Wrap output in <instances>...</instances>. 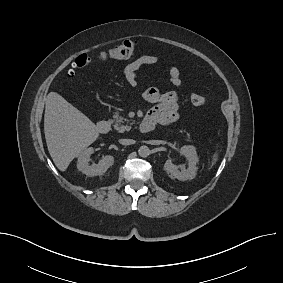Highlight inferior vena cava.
Returning a JSON list of instances; mask_svg holds the SVG:
<instances>
[{
  "instance_id": "obj_1",
  "label": "inferior vena cava",
  "mask_w": 283,
  "mask_h": 283,
  "mask_svg": "<svg viewBox=\"0 0 283 283\" xmlns=\"http://www.w3.org/2000/svg\"><path fill=\"white\" fill-rule=\"evenodd\" d=\"M119 142L122 145H131L135 143V141L132 139H120Z\"/></svg>"
}]
</instances>
